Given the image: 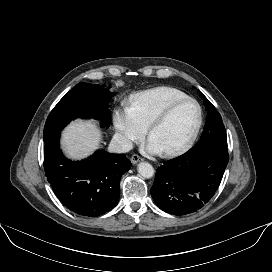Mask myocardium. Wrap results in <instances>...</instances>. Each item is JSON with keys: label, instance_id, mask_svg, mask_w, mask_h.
<instances>
[{"label": "myocardium", "instance_id": "myocardium-1", "mask_svg": "<svg viewBox=\"0 0 272 272\" xmlns=\"http://www.w3.org/2000/svg\"><path fill=\"white\" fill-rule=\"evenodd\" d=\"M191 102L194 103L198 110V118L196 125L189 136V138L179 147L171 150L162 151V154L167 157H175L178 155H181L185 153L187 150L191 148V146L194 144L195 140L197 139L200 129L202 127L203 123V110L200 105V103L192 98V97H184L177 100L172 101L169 103L164 109H162L150 122L148 126V135L151 137L152 132L160 125L162 124L170 115L171 113L181 104Z\"/></svg>", "mask_w": 272, "mask_h": 272}]
</instances>
